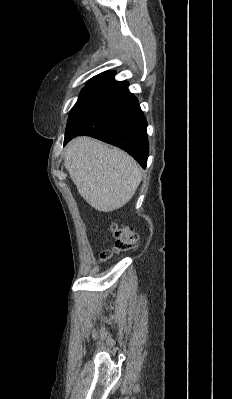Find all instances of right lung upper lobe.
Instances as JSON below:
<instances>
[{"instance_id": "obj_1", "label": "right lung upper lobe", "mask_w": 232, "mask_h": 399, "mask_svg": "<svg viewBox=\"0 0 232 399\" xmlns=\"http://www.w3.org/2000/svg\"><path fill=\"white\" fill-rule=\"evenodd\" d=\"M114 75H115V72H113V71L104 72V73H101V74H99V75L93 77V78L90 80V82H93V83H95V84H99V83H102V82H104V81H106V80H108V79L113 78Z\"/></svg>"}]
</instances>
